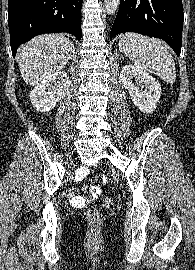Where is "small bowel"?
Segmentation results:
<instances>
[{"label": "small bowel", "instance_id": "small-bowel-1", "mask_svg": "<svg viewBox=\"0 0 195 270\" xmlns=\"http://www.w3.org/2000/svg\"><path fill=\"white\" fill-rule=\"evenodd\" d=\"M88 173H89V169L87 167H81L78 171V177L81 178L87 175ZM90 193H91V198L93 200H96L98 196L101 194V190L97 186H92L90 188ZM69 201H70V204L76 208H82L86 205V200L82 196L77 195L74 189L70 191Z\"/></svg>", "mask_w": 195, "mask_h": 270}]
</instances>
